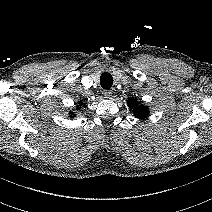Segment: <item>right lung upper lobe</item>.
<instances>
[{
	"label": "right lung upper lobe",
	"instance_id": "1",
	"mask_svg": "<svg viewBox=\"0 0 212 212\" xmlns=\"http://www.w3.org/2000/svg\"><path fill=\"white\" fill-rule=\"evenodd\" d=\"M80 107L79 106H77V109H79ZM75 116V114L74 113H71V118H73Z\"/></svg>",
	"mask_w": 212,
	"mask_h": 212
}]
</instances>
